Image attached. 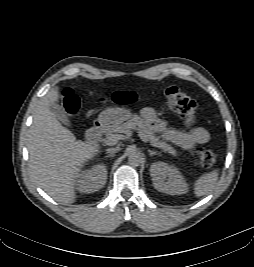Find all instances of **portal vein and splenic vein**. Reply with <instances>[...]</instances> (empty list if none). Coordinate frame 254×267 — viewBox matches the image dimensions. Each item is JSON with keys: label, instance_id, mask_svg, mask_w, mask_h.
<instances>
[{"label": "portal vein and splenic vein", "instance_id": "18ae733b", "mask_svg": "<svg viewBox=\"0 0 254 267\" xmlns=\"http://www.w3.org/2000/svg\"><path fill=\"white\" fill-rule=\"evenodd\" d=\"M139 136L142 139V141L146 142V138H145L144 134H142L141 132H139ZM119 139H120V136H115L114 135L112 137L107 138L105 140V143L107 145H115L118 142Z\"/></svg>", "mask_w": 254, "mask_h": 267}]
</instances>
